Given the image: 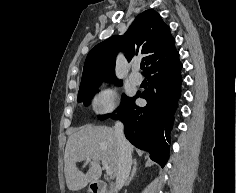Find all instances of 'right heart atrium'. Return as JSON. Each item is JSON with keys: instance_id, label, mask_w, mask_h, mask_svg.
I'll return each mask as SVG.
<instances>
[{"instance_id": "d8ad5b80", "label": "right heart atrium", "mask_w": 237, "mask_h": 193, "mask_svg": "<svg viewBox=\"0 0 237 193\" xmlns=\"http://www.w3.org/2000/svg\"><path fill=\"white\" fill-rule=\"evenodd\" d=\"M115 101V90L112 88H105L95 95L92 106L97 114H109L114 111Z\"/></svg>"}]
</instances>
